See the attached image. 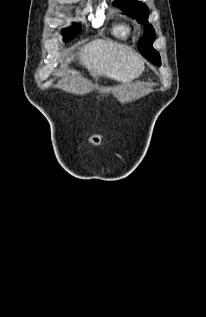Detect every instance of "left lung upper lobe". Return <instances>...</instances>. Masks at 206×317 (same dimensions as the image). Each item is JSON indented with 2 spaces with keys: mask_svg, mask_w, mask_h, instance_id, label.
Segmentation results:
<instances>
[{
  "mask_svg": "<svg viewBox=\"0 0 206 317\" xmlns=\"http://www.w3.org/2000/svg\"><path fill=\"white\" fill-rule=\"evenodd\" d=\"M113 5L121 7L124 12L129 13L139 23L144 24V36L138 43V49L147 59L160 65L159 53L152 48V43L155 40V30L147 20L149 11L146 4L136 0H115Z\"/></svg>",
  "mask_w": 206,
  "mask_h": 317,
  "instance_id": "5c2ea615",
  "label": "left lung upper lobe"
}]
</instances>
